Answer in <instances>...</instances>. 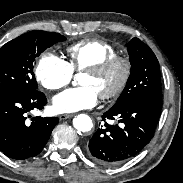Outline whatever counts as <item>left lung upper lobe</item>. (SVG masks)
<instances>
[{
	"instance_id": "1",
	"label": "left lung upper lobe",
	"mask_w": 183,
	"mask_h": 183,
	"mask_svg": "<svg viewBox=\"0 0 183 183\" xmlns=\"http://www.w3.org/2000/svg\"><path fill=\"white\" fill-rule=\"evenodd\" d=\"M131 74L121 96L112 108L134 100H162L160 68L153 51L138 38L126 44Z\"/></svg>"
}]
</instances>
